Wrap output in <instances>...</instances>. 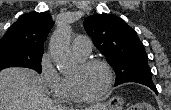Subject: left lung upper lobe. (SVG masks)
<instances>
[{
	"mask_svg": "<svg viewBox=\"0 0 171 110\" xmlns=\"http://www.w3.org/2000/svg\"><path fill=\"white\" fill-rule=\"evenodd\" d=\"M84 27L114 69L115 86L125 82L153 83L144 45L135 30L121 18L95 14L84 20Z\"/></svg>",
	"mask_w": 171,
	"mask_h": 110,
	"instance_id": "obj_1",
	"label": "left lung upper lobe"
}]
</instances>
